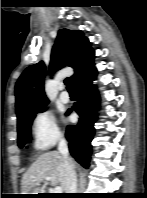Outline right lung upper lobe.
I'll return each instance as SVG.
<instances>
[{
    "mask_svg": "<svg viewBox=\"0 0 147 198\" xmlns=\"http://www.w3.org/2000/svg\"><path fill=\"white\" fill-rule=\"evenodd\" d=\"M94 51L89 40L79 30L61 29L52 48L49 73L64 66L74 68V84L94 67ZM45 64L41 61L28 67L15 86L18 122L44 108L49 100L44 92Z\"/></svg>",
    "mask_w": 147,
    "mask_h": 198,
    "instance_id": "1",
    "label": "right lung upper lobe"
}]
</instances>
